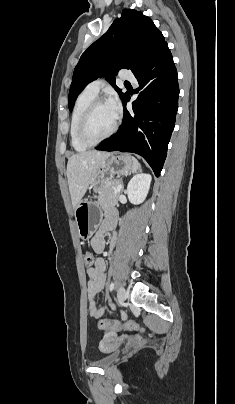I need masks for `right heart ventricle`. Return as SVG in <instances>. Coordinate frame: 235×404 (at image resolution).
<instances>
[{
    "label": "right heart ventricle",
    "instance_id": "1",
    "mask_svg": "<svg viewBox=\"0 0 235 404\" xmlns=\"http://www.w3.org/2000/svg\"><path fill=\"white\" fill-rule=\"evenodd\" d=\"M95 95H92L85 90L78 96V98L75 101L72 113H71V118H70V124H69V136H70V142L72 147L76 151H85L88 149L90 146L84 144L78 136V127H79V122L80 119L88 107V105L95 99Z\"/></svg>",
    "mask_w": 235,
    "mask_h": 404
}]
</instances>
